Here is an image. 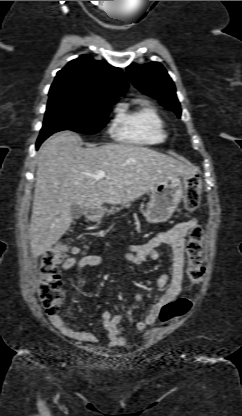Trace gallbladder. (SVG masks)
<instances>
[{
    "label": "gallbladder",
    "instance_id": "1",
    "mask_svg": "<svg viewBox=\"0 0 242 416\" xmlns=\"http://www.w3.org/2000/svg\"><path fill=\"white\" fill-rule=\"evenodd\" d=\"M70 210L74 219H78L84 215V208L76 204H72Z\"/></svg>",
    "mask_w": 242,
    "mask_h": 416
}]
</instances>
